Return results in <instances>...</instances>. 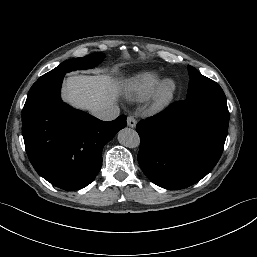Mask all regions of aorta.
I'll return each instance as SVG.
<instances>
[{"label": "aorta", "mask_w": 257, "mask_h": 257, "mask_svg": "<svg viewBox=\"0 0 257 257\" xmlns=\"http://www.w3.org/2000/svg\"><path fill=\"white\" fill-rule=\"evenodd\" d=\"M118 141L125 147L136 148L140 144L138 133L131 128H124L118 133Z\"/></svg>", "instance_id": "obj_1"}]
</instances>
